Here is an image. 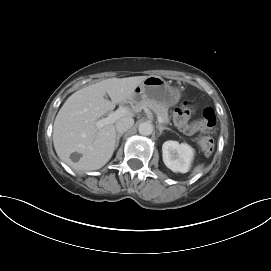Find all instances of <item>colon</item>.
Listing matches in <instances>:
<instances>
[{"mask_svg":"<svg viewBox=\"0 0 271 271\" xmlns=\"http://www.w3.org/2000/svg\"><path fill=\"white\" fill-rule=\"evenodd\" d=\"M195 111L193 102H185L174 112L175 124L187 134L198 133V146L200 150L209 155L214 148V141L211 136L216 125V115L212 108L203 111L202 118L198 122H192L191 116Z\"/></svg>","mask_w":271,"mask_h":271,"instance_id":"colon-1","label":"colon"}]
</instances>
